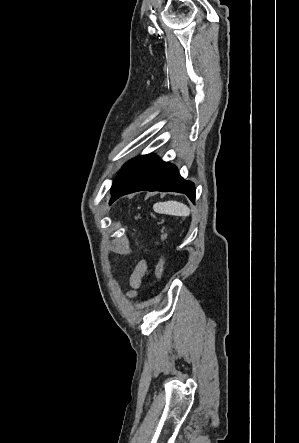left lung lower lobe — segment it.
I'll return each instance as SVG.
<instances>
[{"mask_svg":"<svg viewBox=\"0 0 299 443\" xmlns=\"http://www.w3.org/2000/svg\"><path fill=\"white\" fill-rule=\"evenodd\" d=\"M141 190L179 192L186 194L191 201L195 199L194 184L184 180L176 166L165 163L156 155L145 156L111 188L110 204L125 194Z\"/></svg>","mask_w":299,"mask_h":443,"instance_id":"obj_1","label":"left lung lower lobe"}]
</instances>
